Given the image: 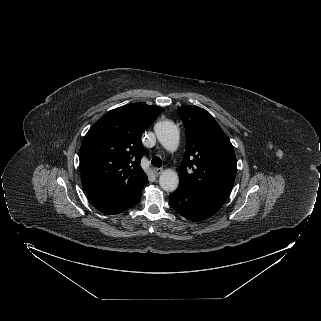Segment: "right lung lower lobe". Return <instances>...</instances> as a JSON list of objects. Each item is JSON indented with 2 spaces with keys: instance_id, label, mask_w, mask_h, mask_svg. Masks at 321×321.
<instances>
[{
  "instance_id": "obj_1",
  "label": "right lung lower lobe",
  "mask_w": 321,
  "mask_h": 321,
  "mask_svg": "<svg viewBox=\"0 0 321 321\" xmlns=\"http://www.w3.org/2000/svg\"><path fill=\"white\" fill-rule=\"evenodd\" d=\"M139 200L135 201L133 204H131V205L127 206V207L120 208V209H102V210L98 209V210L103 212V213H105V214H109V215H111V214H119V213L125 211L126 209H128V208L134 206L135 204H137L139 202Z\"/></svg>"
}]
</instances>
